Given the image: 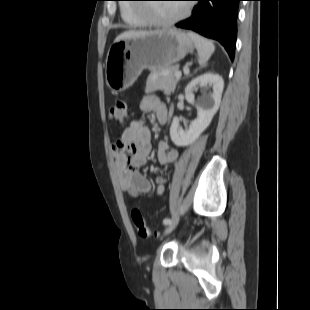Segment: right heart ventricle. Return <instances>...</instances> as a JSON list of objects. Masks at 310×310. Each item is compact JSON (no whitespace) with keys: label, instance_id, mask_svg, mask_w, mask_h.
Here are the masks:
<instances>
[{"label":"right heart ventricle","instance_id":"right-heart-ventricle-1","mask_svg":"<svg viewBox=\"0 0 310 310\" xmlns=\"http://www.w3.org/2000/svg\"><path fill=\"white\" fill-rule=\"evenodd\" d=\"M127 1V0H125ZM120 14L123 21L132 28L144 27L149 24L145 16L139 15L137 8L131 4L123 3L120 5Z\"/></svg>","mask_w":310,"mask_h":310}]
</instances>
